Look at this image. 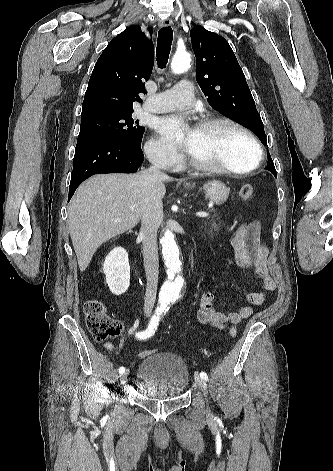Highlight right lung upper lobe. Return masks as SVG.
I'll list each match as a JSON object with an SVG mask.
<instances>
[{
	"instance_id": "obj_1",
	"label": "right lung upper lobe",
	"mask_w": 333,
	"mask_h": 471,
	"mask_svg": "<svg viewBox=\"0 0 333 471\" xmlns=\"http://www.w3.org/2000/svg\"><path fill=\"white\" fill-rule=\"evenodd\" d=\"M152 33V29H149ZM153 43L131 25L118 34L97 60L85 93L81 118L133 109L146 93L145 81L153 69Z\"/></svg>"
}]
</instances>
